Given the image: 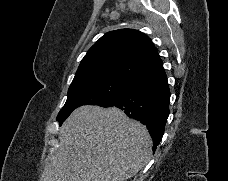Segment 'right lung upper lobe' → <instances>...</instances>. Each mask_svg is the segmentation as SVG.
Masks as SVG:
<instances>
[{
  "mask_svg": "<svg viewBox=\"0 0 228 181\" xmlns=\"http://www.w3.org/2000/svg\"><path fill=\"white\" fill-rule=\"evenodd\" d=\"M161 63L149 37L133 29H120L106 33L89 49L74 80L95 75L132 79Z\"/></svg>",
  "mask_w": 228,
  "mask_h": 181,
  "instance_id": "1",
  "label": "right lung upper lobe"
}]
</instances>
